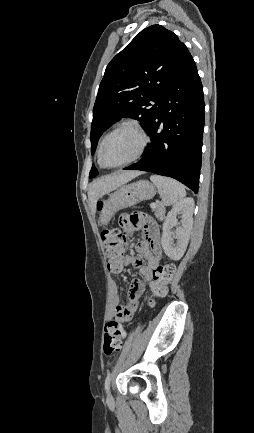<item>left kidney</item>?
<instances>
[{"instance_id": "obj_1", "label": "left kidney", "mask_w": 254, "mask_h": 433, "mask_svg": "<svg viewBox=\"0 0 254 433\" xmlns=\"http://www.w3.org/2000/svg\"><path fill=\"white\" fill-rule=\"evenodd\" d=\"M193 212V198H185L173 206L163 223L161 244L165 254L172 260H180L186 251L193 225ZM178 214H181V226H178ZM176 226L175 237L171 230ZM174 238L177 239L176 243Z\"/></svg>"}]
</instances>
